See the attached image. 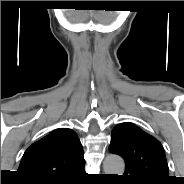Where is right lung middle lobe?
Wrapping results in <instances>:
<instances>
[{"instance_id": "obj_1", "label": "right lung middle lobe", "mask_w": 184, "mask_h": 184, "mask_svg": "<svg viewBox=\"0 0 184 184\" xmlns=\"http://www.w3.org/2000/svg\"><path fill=\"white\" fill-rule=\"evenodd\" d=\"M57 182H50V183H38V184H56Z\"/></svg>"}]
</instances>
